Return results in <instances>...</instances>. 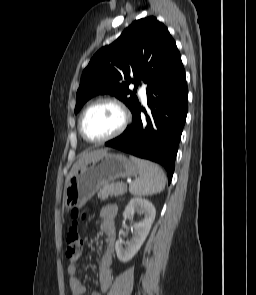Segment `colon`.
<instances>
[{
    "mask_svg": "<svg viewBox=\"0 0 256 295\" xmlns=\"http://www.w3.org/2000/svg\"><path fill=\"white\" fill-rule=\"evenodd\" d=\"M86 217V213L77 208L70 213V228L66 237L65 248V254L68 258L77 256L82 250L81 227Z\"/></svg>",
    "mask_w": 256,
    "mask_h": 295,
    "instance_id": "5ec220e1",
    "label": "colon"
}]
</instances>
